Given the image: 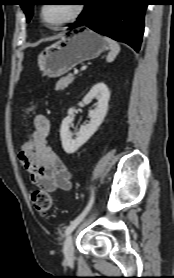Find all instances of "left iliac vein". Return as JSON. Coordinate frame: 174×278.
<instances>
[{
  "mask_svg": "<svg viewBox=\"0 0 174 278\" xmlns=\"http://www.w3.org/2000/svg\"><path fill=\"white\" fill-rule=\"evenodd\" d=\"M63 252L65 255V260L68 264H72L74 261V245L73 236L69 234L64 242Z\"/></svg>",
  "mask_w": 174,
  "mask_h": 278,
  "instance_id": "1",
  "label": "left iliac vein"
}]
</instances>
